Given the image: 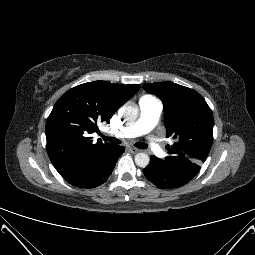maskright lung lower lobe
Instances as JSON below:
<instances>
[{
  "label": "right lung lower lobe",
  "instance_id": "obj_1",
  "mask_svg": "<svg viewBox=\"0 0 255 255\" xmlns=\"http://www.w3.org/2000/svg\"><path fill=\"white\" fill-rule=\"evenodd\" d=\"M123 152V146L114 145L99 158L84 164L76 171L63 177L67 182L79 188L97 187L109 178Z\"/></svg>",
  "mask_w": 255,
  "mask_h": 255
}]
</instances>
